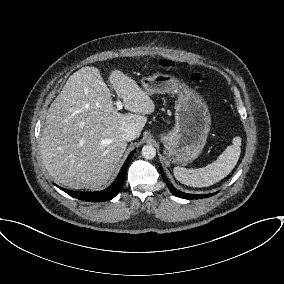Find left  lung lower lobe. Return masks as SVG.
<instances>
[{"instance_id": "0a47b994", "label": "left lung lower lobe", "mask_w": 284, "mask_h": 284, "mask_svg": "<svg viewBox=\"0 0 284 284\" xmlns=\"http://www.w3.org/2000/svg\"><path fill=\"white\" fill-rule=\"evenodd\" d=\"M160 171H161V175H162V178L163 180L166 182L169 190L171 191V193L177 197H180V198H184V199H200V198H206V197H211L216 193H212V194H198V195H195V194H187V193H183L179 190H177L175 187H173L171 185V183L168 181V179L166 178L162 168L160 167Z\"/></svg>"}]
</instances>
